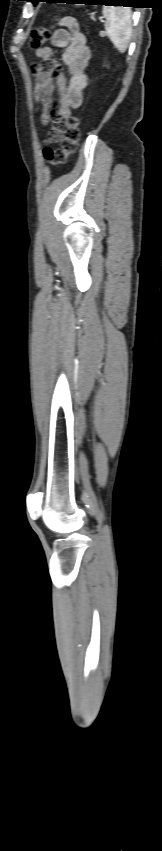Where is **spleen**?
I'll return each instance as SVG.
<instances>
[{"instance_id":"1","label":"spleen","mask_w":162,"mask_h":851,"mask_svg":"<svg viewBox=\"0 0 162 851\" xmlns=\"http://www.w3.org/2000/svg\"><path fill=\"white\" fill-rule=\"evenodd\" d=\"M103 15L107 19L106 33L120 53L128 47L131 33V10L124 7H103Z\"/></svg>"}]
</instances>
